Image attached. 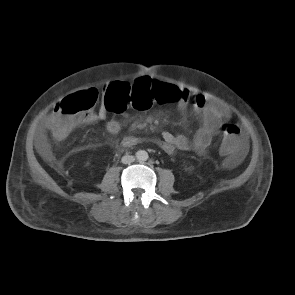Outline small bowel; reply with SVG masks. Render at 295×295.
Segmentation results:
<instances>
[{
    "instance_id": "obj_1",
    "label": "small bowel",
    "mask_w": 295,
    "mask_h": 295,
    "mask_svg": "<svg viewBox=\"0 0 295 295\" xmlns=\"http://www.w3.org/2000/svg\"><path fill=\"white\" fill-rule=\"evenodd\" d=\"M149 81L148 77H140L133 82L128 83L130 87H136L138 83ZM177 91L175 99L177 108L180 112H184L187 107L192 104L194 110L201 120V126L191 136L182 134H173L164 131L161 138L156 140L155 143L167 154H172L176 149L180 150H193L199 154H203L207 147L210 145L213 137L221 129L225 121L230 118L229 110L223 105L208 100L203 94L195 93L186 87L173 85ZM106 88V87H105ZM55 112H53L45 121L44 129L38 136V143L41 147H47L46 132L50 131L51 124L55 119ZM109 108L105 103L101 104L97 113L88 114L81 123H95L106 122V129L110 134H117L121 129V124L117 119L109 118ZM51 132V131H50ZM139 142V139L134 136H126L122 139L121 144L123 147H132ZM227 153V152H226ZM244 153V144L241 142L237 151L228 153L226 164L229 167H234L242 159Z\"/></svg>"
}]
</instances>
